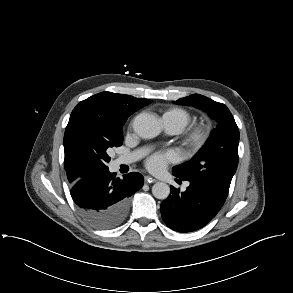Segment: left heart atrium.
Returning a JSON list of instances; mask_svg holds the SVG:
<instances>
[{
	"instance_id": "obj_1",
	"label": "left heart atrium",
	"mask_w": 293,
	"mask_h": 293,
	"mask_svg": "<svg viewBox=\"0 0 293 293\" xmlns=\"http://www.w3.org/2000/svg\"><path fill=\"white\" fill-rule=\"evenodd\" d=\"M174 160L175 155L172 152H159L148 159L146 166L152 173L160 174L167 168L169 163Z\"/></svg>"
}]
</instances>
